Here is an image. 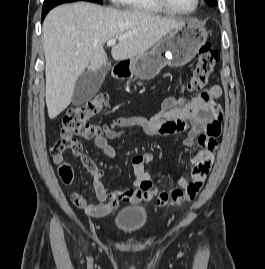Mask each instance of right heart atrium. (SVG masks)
Wrapping results in <instances>:
<instances>
[{"instance_id":"right-heart-atrium-1","label":"right heart atrium","mask_w":265,"mask_h":269,"mask_svg":"<svg viewBox=\"0 0 265 269\" xmlns=\"http://www.w3.org/2000/svg\"><path fill=\"white\" fill-rule=\"evenodd\" d=\"M122 0H110L111 3L113 4H118L121 3Z\"/></svg>"}]
</instances>
